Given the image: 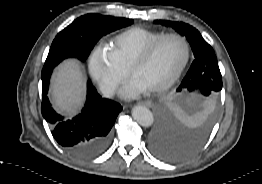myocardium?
<instances>
[{
	"label": "myocardium",
	"mask_w": 262,
	"mask_h": 184,
	"mask_svg": "<svg viewBox=\"0 0 262 184\" xmlns=\"http://www.w3.org/2000/svg\"><path fill=\"white\" fill-rule=\"evenodd\" d=\"M178 38L180 39L184 46H185V50H186V54H185V58L182 62V64L180 65V67L178 68V70L173 74V76L166 81L164 84L157 86V87H152V88H148V91L150 92H164L166 90H168L169 88H171L177 81L178 79L181 77L182 73L184 72L189 59H190V55H191V49H190V45L187 41V39L178 34V33H165L162 34L161 36H159L158 38H156L154 41H152L151 43H149L142 51L141 53L133 60V62L131 63V65L129 66V74L134 77L135 71L141 67L142 65H144L152 56L153 52L155 51V49L157 48V46L165 39L167 38Z\"/></svg>",
	"instance_id": "myocardium-1"
}]
</instances>
